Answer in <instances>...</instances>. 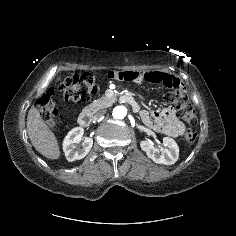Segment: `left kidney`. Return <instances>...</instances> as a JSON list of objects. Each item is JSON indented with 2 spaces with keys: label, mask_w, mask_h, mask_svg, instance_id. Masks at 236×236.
Returning <instances> with one entry per match:
<instances>
[{
  "label": "left kidney",
  "mask_w": 236,
  "mask_h": 236,
  "mask_svg": "<svg viewBox=\"0 0 236 236\" xmlns=\"http://www.w3.org/2000/svg\"><path fill=\"white\" fill-rule=\"evenodd\" d=\"M163 145L166 147L159 150L154 147L151 141H141L140 147L146 152L147 156L152 159L155 163L172 165L179 157V147L174 139L170 137L163 138Z\"/></svg>",
  "instance_id": "left-kidney-1"
}]
</instances>
